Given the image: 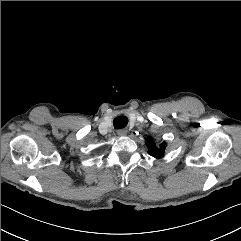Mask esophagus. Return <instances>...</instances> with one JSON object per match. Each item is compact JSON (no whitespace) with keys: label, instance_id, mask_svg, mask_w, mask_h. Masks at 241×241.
<instances>
[{"label":"esophagus","instance_id":"esophagus-1","mask_svg":"<svg viewBox=\"0 0 241 241\" xmlns=\"http://www.w3.org/2000/svg\"><path fill=\"white\" fill-rule=\"evenodd\" d=\"M117 134H118L119 136H125V135L127 134V131L124 130V129H120V130L117 131Z\"/></svg>","mask_w":241,"mask_h":241}]
</instances>
